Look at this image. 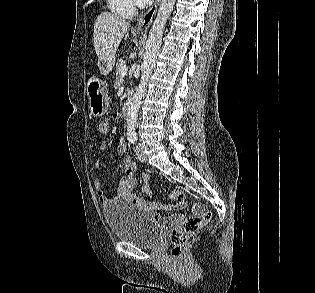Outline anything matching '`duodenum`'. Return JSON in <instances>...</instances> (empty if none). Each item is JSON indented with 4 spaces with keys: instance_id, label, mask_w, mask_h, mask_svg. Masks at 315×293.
<instances>
[{
    "instance_id": "duodenum-1",
    "label": "duodenum",
    "mask_w": 315,
    "mask_h": 293,
    "mask_svg": "<svg viewBox=\"0 0 315 293\" xmlns=\"http://www.w3.org/2000/svg\"><path fill=\"white\" fill-rule=\"evenodd\" d=\"M130 105H131V99L127 98L122 106V113L126 116L129 113V109H130Z\"/></svg>"
}]
</instances>
